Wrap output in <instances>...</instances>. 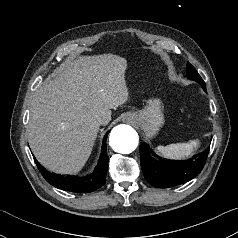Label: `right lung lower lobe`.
<instances>
[{
    "label": "right lung lower lobe",
    "mask_w": 238,
    "mask_h": 238,
    "mask_svg": "<svg viewBox=\"0 0 238 238\" xmlns=\"http://www.w3.org/2000/svg\"><path fill=\"white\" fill-rule=\"evenodd\" d=\"M106 138L107 135L103 140L102 153L98 165L96 166L93 173L86 177H72L53 174L45 170V168H43L35 158L34 160L39 171L49 184L55 186L56 188L70 192L89 193L95 191L106 182L105 177L108 170L109 160L106 149Z\"/></svg>",
    "instance_id": "98d812e1"
}]
</instances>
